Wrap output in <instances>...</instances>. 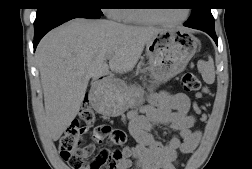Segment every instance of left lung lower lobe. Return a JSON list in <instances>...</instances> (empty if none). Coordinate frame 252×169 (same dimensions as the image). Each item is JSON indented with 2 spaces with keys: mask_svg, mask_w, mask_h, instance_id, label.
I'll list each match as a JSON object with an SVG mask.
<instances>
[{
  "mask_svg": "<svg viewBox=\"0 0 252 169\" xmlns=\"http://www.w3.org/2000/svg\"><path fill=\"white\" fill-rule=\"evenodd\" d=\"M203 31H205L206 33H208L213 38V40L215 41V43L218 45V40H217V36L215 34V30H203Z\"/></svg>",
  "mask_w": 252,
  "mask_h": 169,
  "instance_id": "0a47b994",
  "label": "left lung lower lobe"
}]
</instances>
